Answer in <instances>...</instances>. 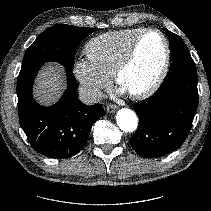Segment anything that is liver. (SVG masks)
Wrapping results in <instances>:
<instances>
[{
    "label": "liver",
    "mask_w": 211,
    "mask_h": 211,
    "mask_svg": "<svg viewBox=\"0 0 211 211\" xmlns=\"http://www.w3.org/2000/svg\"><path fill=\"white\" fill-rule=\"evenodd\" d=\"M61 66L49 65L40 72L34 89L35 98L43 105L55 102L65 86Z\"/></svg>",
    "instance_id": "liver-1"
}]
</instances>
